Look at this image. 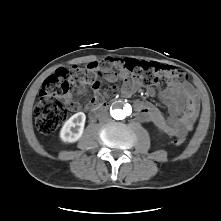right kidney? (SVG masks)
I'll return each instance as SVG.
<instances>
[{
	"instance_id": "1",
	"label": "right kidney",
	"mask_w": 221,
	"mask_h": 221,
	"mask_svg": "<svg viewBox=\"0 0 221 221\" xmlns=\"http://www.w3.org/2000/svg\"><path fill=\"white\" fill-rule=\"evenodd\" d=\"M86 115L78 112L71 116L60 130V138L63 142H76L83 134Z\"/></svg>"
}]
</instances>
